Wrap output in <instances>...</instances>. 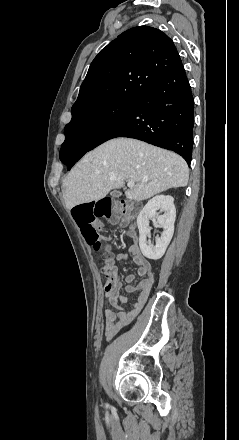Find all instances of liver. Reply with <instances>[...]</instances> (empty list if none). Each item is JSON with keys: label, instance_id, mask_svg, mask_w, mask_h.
Wrapping results in <instances>:
<instances>
[{"label": "liver", "instance_id": "6515ba94", "mask_svg": "<svg viewBox=\"0 0 239 440\" xmlns=\"http://www.w3.org/2000/svg\"><path fill=\"white\" fill-rule=\"evenodd\" d=\"M188 178L189 168L178 154L139 140L115 138L88 152L66 176L62 188L66 208L71 210L105 198L125 182H136L125 196L140 202L168 188H183Z\"/></svg>", "mask_w": 239, "mask_h": 440}]
</instances>
